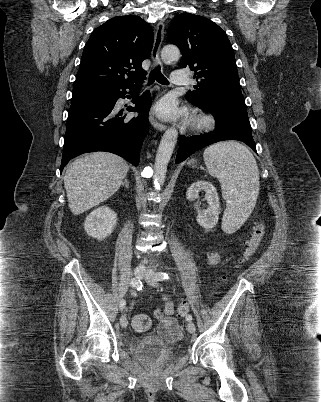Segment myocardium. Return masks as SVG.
<instances>
[{"mask_svg": "<svg viewBox=\"0 0 321 402\" xmlns=\"http://www.w3.org/2000/svg\"><path fill=\"white\" fill-rule=\"evenodd\" d=\"M216 126L214 116L205 113H196L190 120V127L197 132H209Z\"/></svg>", "mask_w": 321, "mask_h": 402, "instance_id": "1", "label": "myocardium"}]
</instances>
